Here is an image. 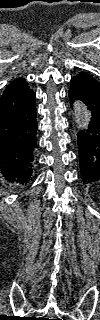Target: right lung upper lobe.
<instances>
[{
    "label": "right lung upper lobe",
    "instance_id": "1",
    "mask_svg": "<svg viewBox=\"0 0 100 320\" xmlns=\"http://www.w3.org/2000/svg\"><path fill=\"white\" fill-rule=\"evenodd\" d=\"M28 87L29 86L27 82L23 78H17L7 86L1 97L20 95L21 93L25 92Z\"/></svg>",
    "mask_w": 100,
    "mask_h": 320
}]
</instances>
